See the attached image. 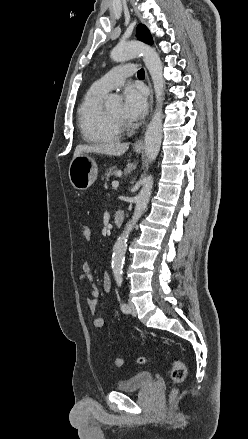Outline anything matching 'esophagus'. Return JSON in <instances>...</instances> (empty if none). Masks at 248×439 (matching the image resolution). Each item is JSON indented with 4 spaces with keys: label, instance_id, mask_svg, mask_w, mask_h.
Returning <instances> with one entry per match:
<instances>
[{
    "label": "esophagus",
    "instance_id": "obj_1",
    "mask_svg": "<svg viewBox=\"0 0 248 439\" xmlns=\"http://www.w3.org/2000/svg\"><path fill=\"white\" fill-rule=\"evenodd\" d=\"M147 82H148V86H149V89H150V95H149L150 111H152V108H153V102H154V98H153V89H152L151 83H150V81H149L148 78H147ZM133 146H134L135 149H142V148H143V139H142V137L139 138V139L134 143Z\"/></svg>",
    "mask_w": 248,
    "mask_h": 439
}]
</instances>
